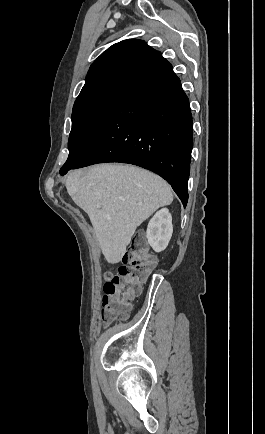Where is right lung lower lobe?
Returning <instances> with one entry per match:
<instances>
[{
    "instance_id": "right-lung-lower-lobe-1",
    "label": "right lung lower lobe",
    "mask_w": 265,
    "mask_h": 434,
    "mask_svg": "<svg viewBox=\"0 0 265 434\" xmlns=\"http://www.w3.org/2000/svg\"><path fill=\"white\" fill-rule=\"evenodd\" d=\"M192 132L188 97L160 56L134 75L89 149L60 174L96 163L134 164L163 177L186 206Z\"/></svg>"
}]
</instances>
